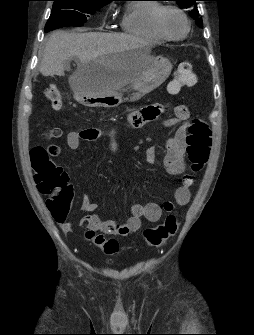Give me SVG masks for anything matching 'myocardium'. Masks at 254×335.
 Segmentation results:
<instances>
[{"label":"myocardium","instance_id":"1","mask_svg":"<svg viewBox=\"0 0 254 335\" xmlns=\"http://www.w3.org/2000/svg\"><path fill=\"white\" fill-rule=\"evenodd\" d=\"M165 11H174V12L178 13L184 19L185 24H186V29H185V32L182 35L177 36V37H172V36H169L163 30L162 25H161V17H162V14ZM153 27H154L156 33L160 37H162L164 40L179 41V40L184 39L189 34V32L191 30V22H190V19L187 16V14L182 9H180L179 7L174 6V5H161L160 7H158V9L156 10V12L153 16Z\"/></svg>","mask_w":254,"mask_h":335}]
</instances>
